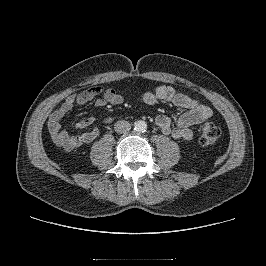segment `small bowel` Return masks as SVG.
I'll return each mask as SVG.
<instances>
[{
	"label": "small bowel",
	"mask_w": 266,
	"mask_h": 266,
	"mask_svg": "<svg viewBox=\"0 0 266 266\" xmlns=\"http://www.w3.org/2000/svg\"><path fill=\"white\" fill-rule=\"evenodd\" d=\"M93 98L94 96L89 95L88 91L71 95L52 112L47 127L51 140L57 146L65 150H73L92 142L99 135L98 128H92L91 130L71 135L62 127L63 119L71 110L76 106L86 104ZM141 101L147 105H153L157 101H165L186 110L177 120H173L167 115H159L155 120L156 127L163 134L170 135L177 140L191 139L195 127L210 119L213 115V111L209 106L188 95L177 92L172 87L164 85H159L154 90L145 92L141 97ZM94 103L98 107L120 105L123 103V97L115 90L108 88L104 91L103 96L94 100ZM113 119V117H107L104 121L111 123ZM94 120L92 116L83 117L76 122L74 128L77 131H81L90 126Z\"/></svg>",
	"instance_id": "c3829d8e"
}]
</instances>
